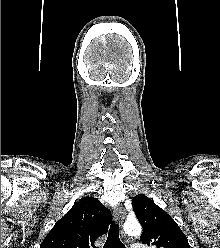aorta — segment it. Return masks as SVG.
<instances>
[{
	"label": "aorta",
	"mask_w": 220,
	"mask_h": 248,
	"mask_svg": "<svg viewBox=\"0 0 220 248\" xmlns=\"http://www.w3.org/2000/svg\"><path fill=\"white\" fill-rule=\"evenodd\" d=\"M123 228H124L125 233H127L128 235H131V236H138L142 231L140 223L135 219L134 220H127L124 223Z\"/></svg>",
	"instance_id": "aorta-1"
}]
</instances>
